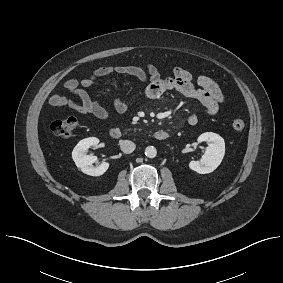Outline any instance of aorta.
<instances>
[{
	"label": "aorta",
	"instance_id": "aorta-1",
	"mask_svg": "<svg viewBox=\"0 0 283 283\" xmlns=\"http://www.w3.org/2000/svg\"><path fill=\"white\" fill-rule=\"evenodd\" d=\"M145 155L148 157V158H154L156 157L157 155V150L154 146H148L146 147L145 149Z\"/></svg>",
	"mask_w": 283,
	"mask_h": 283
}]
</instances>
